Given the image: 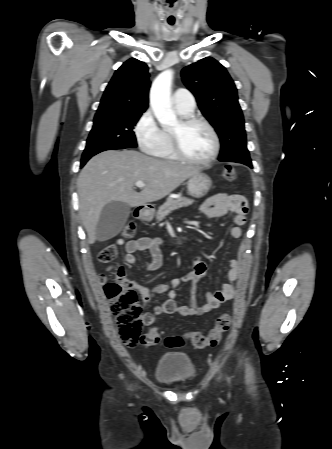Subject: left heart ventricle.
<instances>
[{
    "instance_id": "1",
    "label": "left heart ventricle",
    "mask_w": 332,
    "mask_h": 449,
    "mask_svg": "<svg viewBox=\"0 0 332 449\" xmlns=\"http://www.w3.org/2000/svg\"><path fill=\"white\" fill-rule=\"evenodd\" d=\"M177 133L183 151L195 159H205L212 153L213 140L207 130L201 124L181 126L180 121L171 129Z\"/></svg>"
}]
</instances>
